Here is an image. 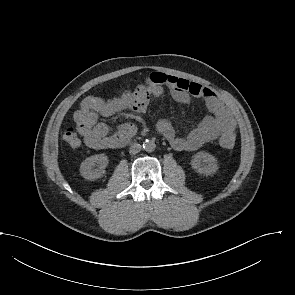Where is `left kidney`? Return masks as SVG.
Returning <instances> with one entry per match:
<instances>
[{
  "instance_id": "5707ae66",
  "label": "left kidney",
  "mask_w": 295,
  "mask_h": 295,
  "mask_svg": "<svg viewBox=\"0 0 295 295\" xmlns=\"http://www.w3.org/2000/svg\"><path fill=\"white\" fill-rule=\"evenodd\" d=\"M191 166L200 174L213 175L218 170L216 158L207 152L196 153L191 160Z\"/></svg>"
}]
</instances>
